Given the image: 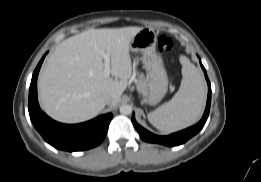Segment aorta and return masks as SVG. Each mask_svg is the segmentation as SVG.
I'll list each match as a JSON object with an SVG mask.
<instances>
[{"instance_id": "762f6f07", "label": "aorta", "mask_w": 261, "mask_h": 182, "mask_svg": "<svg viewBox=\"0 0 261 182\" xmlns=\"http://www.w3.org/2000/svg\"><path fill=\"white\" fill-rule=\"evenodd\" d=\"M119 111L123 115H130L132 113V107L130 105L125 104L119 108Z\"/></svg>"}]
</instances>
